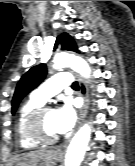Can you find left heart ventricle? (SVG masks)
I'll use <instances>...</instances> for the list:
<instances>
[{
  "instance_id": "left-heart-ventricle-1",
  "label": "left heart ventricle",
  "mask_w": 135,
  "mask_h": 166,
  "mask_svg": "<svg viewBox=\"0 0 135 166\" xmlns=\"http://www.w3.org/2000/svg\"><path fill=\"white\" fill-rule=\"evenodd\" d=\"M42 128L47 136L58 135L54 128V111L46 113L42 119Z\"/></svg>"
}]
</instances>
